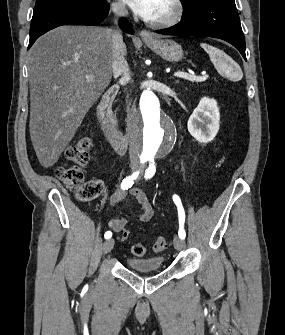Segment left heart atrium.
Here are the masks:
<instances>
[{"label": "left heart atrium", "instance_id": "39dd6f15", "mask_svg": "<svg viewBox=\"0 0 285 335\" xmlns=\"http://www.w3.org/2000/svg\"><path fill=\"white\" fill-rule=\"evenodd\" d=\"M134 13L147 23L154 22L157 11L156 1H126Z\"/></svg>", "mask_w": 285, "mask_h": 335}]
</instances>
